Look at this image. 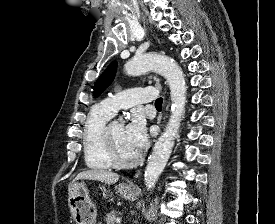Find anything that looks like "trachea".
Segmentation results:
<instances>
[{
	"mask_svg": "<svg viewBox=\"0 0 275 224\" xmlns=\"http://www.w3.org/2000/svg\"><path fill=\"white\" fill-rule=\"evenodd\" d=\"M162 102H163V99L162 98H158L155 101V107L161 108L162 107Z\"/></svg>",
	"mask_w": 275,
	"mask_h": 224,
	"instance_id": "3493384b",
	"label": "trachea"
}]
</instances>
